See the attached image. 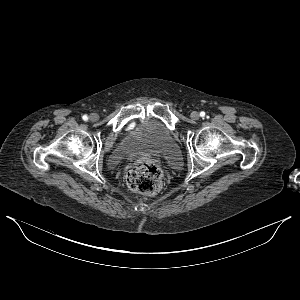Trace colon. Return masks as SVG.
Instances as JSON below:
<instances>
[{
    "mask_svg": "<svg viewBox=\"0 0 300 300\" xmlns=\"http://www.w3.org/2000/svg\"><path fill=\"white\" fill-rule=\"evenodd\" d=\"M126 180L133 191L154 195L162 186V171L152 160H142L134 163L127 171Z\"/></svg>",
    "mask_w": 300,
    "mask_h": 300,
    "instance_id": "colon-1",
    "label": "colon"
}]
</instances>
